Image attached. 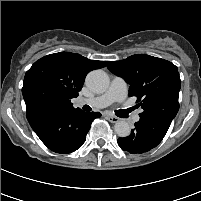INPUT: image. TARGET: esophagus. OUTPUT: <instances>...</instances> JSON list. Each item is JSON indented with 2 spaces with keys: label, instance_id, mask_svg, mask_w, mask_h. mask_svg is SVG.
<instances>
[{
  "label": "esophagus",
  "instance_id": "1",
  "mask_svg": "<svg viewBox=\"0 0 201 201\" xmlns=\"http://www.w3.org/2000/svg\"><path fill=\"white\" fill-rule=\"evenodd\" d=\"M106 118L111 122V123H117L120 118L114 116V115H106Z\"/></svg>",
  "mask_w": 201,
  "mask_h": 201
}]
</instances>
